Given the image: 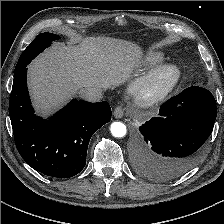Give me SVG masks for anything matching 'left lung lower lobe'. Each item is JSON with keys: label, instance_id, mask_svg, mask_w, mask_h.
Here are the masks:
<instances>
[{"label": "left lung lower lobe", "instance_id": "left-lung-lower-lobe-1", "mask_svg": "<svg viewBox=\"0 0 224 224\" xmlns=\"http://www.w3.org/2000/svg\"><path fill=\"white\" fill-rule=\"evenodd\" d=\"M216 101L205 88L192 86L160 107L159 116L139 127L134 166L148 178H176L200 159L213 131Z\"/></svg>", "mask_w": 224, "mask_h": 224}]
</instances>
